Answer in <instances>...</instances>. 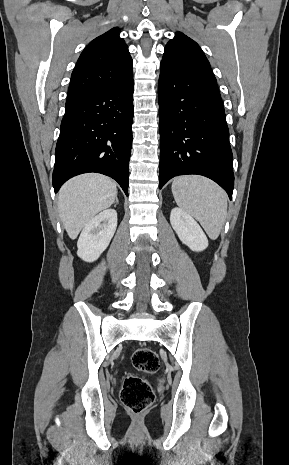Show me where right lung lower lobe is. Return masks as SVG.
Returning <instances> with one entry per match:
<instances>
[{"label": "right lung lower lobe", "mask_w": 289, "mask_h": 465, "mask_svg": "<svg viewBox=\"0 0 289 465\" xmlns=\"http://www.w3.org/2000/svg\"><path fill=\"white\" fill-rule=\"evenodd\" d=\"M133 75L115 87L66 102L55 150V193L73 176L102 173L128 196Z\"/></svg>", "instance_id": "1"}]
</instances>
